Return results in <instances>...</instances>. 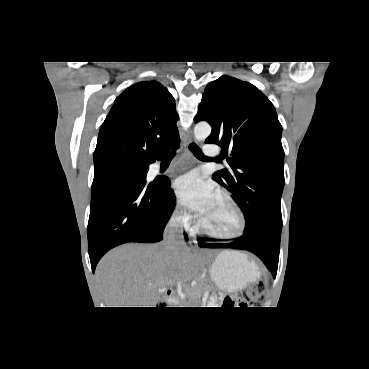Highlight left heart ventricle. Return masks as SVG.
<instances>
[{"instance_id":"obj_1","label":"left heart ventricle","mask_w":369,"mask_h":369,"mask_svg":"<svg viewBox=\"0 0 369 369\" xmlns=\"http://www.w3.org/2000/svg\"><path fill=\"white\" fill-rule=\"evenodd\" d=\"M200 219L207 228L223 235L232 234L238 228V216L235 210L219 196Z\"/></svg>"}]
</instances>
